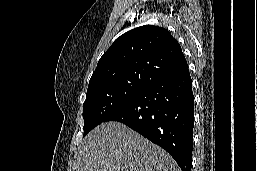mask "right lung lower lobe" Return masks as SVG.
<instances>
[{
    "instance_id": "obj_1",
    "label": "right lung lower lobe",
    "mask_w": 257,
    "mask_h": 171,
    "mask_svg": "<svg viewBox=\"0 0 257 171\" xmlns=\"http://www.w3.org/2000/svg\"><path fill=\"white\" fill-rule=\"evenodd\" d=\"M106 121L127 125L170 153L182 171H191L194 96L188 66L147 86Z\"/></svg>"
}]
</instances>
